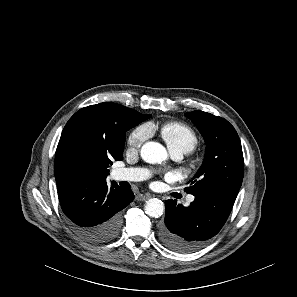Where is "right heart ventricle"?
<instances>
[{
	"instance_id": "obj_1",
	"label": "right heart ventricle",
	"mask_w": 297,
	"mask_h": 297,
	"mask_svg": "<svg viewBox=\"0 0 297 297\" xmlns=\"http://www.w3.org/2000/svg\"><path fill=\"white\" fill-rule=\"evenodd\" d=\"M160 132L170 150L183 148L191 151L198 142L195 131L181 122L166 123L161 127Z\"/></svg>"
}]
</instances>
